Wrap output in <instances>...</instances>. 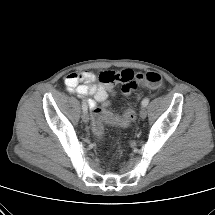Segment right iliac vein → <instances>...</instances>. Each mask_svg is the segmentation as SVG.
I'll return each instance as SVG.
<instances>
[{"label": "right iliac vein", "mask_w": 215, "mask_h": 215, "mask_svg": "<svg viewBox=\"0 0 215 215\" xmlns=\"http://www.w3.org/2000/svg\"><path fill=\"white\" fill-rule=\"evenodd\" d=\"M82 120L84 123H87L89 121V116H88L87 112H83Z\"/></svg>", "instance_id": "1"}]
</instances>
